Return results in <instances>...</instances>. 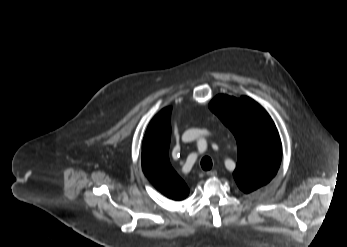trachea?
Masks as SVG:
<instances>
[{
	"instance_id": "obj_1",
	"label": "trachea",
	"mask_w": 347,
	"mask_h": 247,
	"mask_svg": "<svg viewBox=\"0 0 347 247\" xmlns=\"http://www.w3.org/2000/svg\"><path fill=\"white\" fill-rule=\"evenodd\" d=\"M201 167L203 170H210L212 168V160L210 157L205 156L202 160H201Z\"/></svg>"
}]
</instances>
